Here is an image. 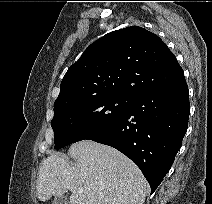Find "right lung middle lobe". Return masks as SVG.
Returning a JSON list of instances; mask_svg holds the SVG:
<instances>
[{
	"label": "right lung middle lobe",
	"mask_w": 212,
	"mask_h": 204,
	"mask_svg": "<svg viewBox=\"0 0 212 204\" xmlns=\"http://www.w3.org/2000/svg\"><path fill=\"white\" fill-rule=\"evenodd\" d=\"M129 97L110 95L54 109L51 126L55 149L87 139L116 123L125 113Z\"/></svg>",
	"instance_id": "1"
}]
</instances>
